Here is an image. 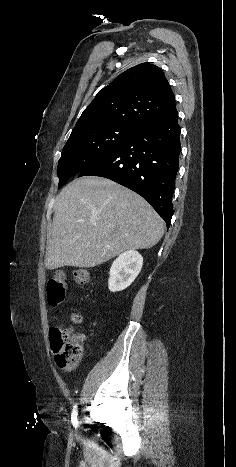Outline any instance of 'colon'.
<instances>
[{
  "label": "colon",
  "mask_w": 236,
  "mask_h": 467,
  "mask_svg": "<svg viewBox=\"0 0 236 467\" xmlns=\"http://www.w3.org/2000/svg\"><path fill=\"white\" fill-rule=\"evenodd\" d=\"M88 271L77 269L73 272L74 281L84 285L88 281ZM66 277L63 272H57L46 285L47 302L53 309H57L65 300ZM82 318L79 314H73L72 321L79 324ZM51 349L54 353L56 364L67 371L74 370L79 364L83 351L85 337L72 328H53L50 335Z\"/></svg>",
  "instance_id": "obj_1"
}]
</instances>
